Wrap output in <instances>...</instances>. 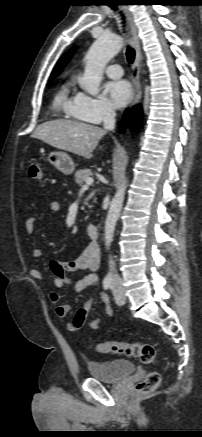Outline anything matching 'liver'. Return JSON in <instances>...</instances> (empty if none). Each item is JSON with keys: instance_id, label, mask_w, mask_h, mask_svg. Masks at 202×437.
Masks as SVG:
<instances>
[{"instance_id": "liver-1", "label": "liver", "mask_w": 202, "mask_h": 437, "mask_svg": "<svg viewBox=\"0 0 202 437\" xmlns=\"http://www.w3.org/2000/svg\"><path fill=\"white\" fill-rule=\"evenodd\" d=\"M106 131L98 126L72 120H52L40 124L32 138L78 156L90 159Z\"/></svg>"}]
</instances>
